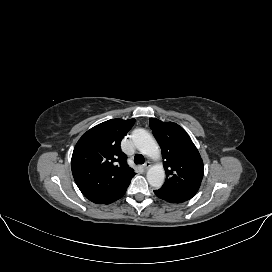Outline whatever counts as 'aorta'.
<instances>
[{"instance_id":"aorta-1","label":"aorta","mask_w":272,"mask_h":272,"mask_svg":"<svg viewBox=\"0 0 272 272\" xmlns=\"http://www.w3.org/2000/svg\"><path fill=\"white\" fill-rule=\"evenodd\" d=\"M131 139L135 147L144 155L158 160L161 156L159 146L154 137L145 129H135ZM148 183L154 188H161L165 180V171L161 164L152 166L147 172Z\"/></svg>"}]
</instances>
